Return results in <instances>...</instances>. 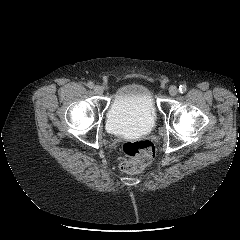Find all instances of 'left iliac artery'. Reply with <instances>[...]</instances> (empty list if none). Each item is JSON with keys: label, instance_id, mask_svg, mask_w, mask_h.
Wrapping results in <instances>:
<instances>
[{"label": "left iliac artery", "instance_id": "obj_1", "mask_svg": "<svg viewBox=\"0 0 240 240\" xmlns=\"http://www.w3.org/2000/svg\"><path fill=\"white\" fill-rule=\"evenodd\" d=\"M179 90L181 93H184L186 91V86L185 85H180Z\"/></svg>", "mask_w": 240, "mask_h": 240}]
</instances>
